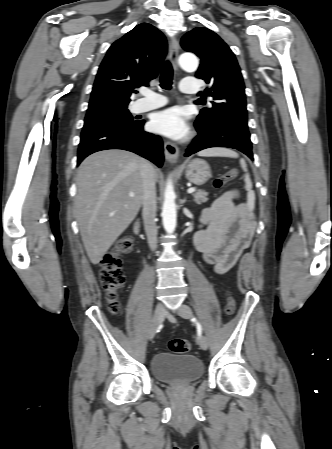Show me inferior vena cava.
Returning a JSON list of instances; mask_svg holds the SVG:
<instances>
[{
  "instance_id": "602c4592",
  "label": "inferior vena cava",
  "mask_w": 332,
  "mask_h": 449,
  "mask_svg": "<svg viewBox=\"0 0 332 449\" xmlns=\"http://www.w3.org/2000/svg\"><path fill=\"white\" fill-rule=\"evenodd\" d=\"M140 174L143 184V220L145 232L148 239V244L151 250L157 247V232L156 226V175L153 166L143 161L140 165Z\"/></svg>"
}]
</instances>
